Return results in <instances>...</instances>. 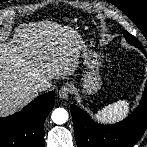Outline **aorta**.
I'll return each instance as SVG.
<instances>
[{"instance_id":"762f6f07","label":"aorta","mask_w":147,"mask_h":147,"mask_svg":"<svg viewBox=\"0 0 147 147\" xmlns=\"http://www.w3.org/2000/svg\"><path fill=\"white\" fill-rule=\"evenodd\" d=\"M52 120L56 124H64L68 120L67 110L64 108H57L52 113Z\"/></svg>"}]
</instances>
